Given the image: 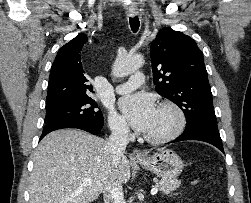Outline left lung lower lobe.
Segmentation results:
<instances>
[{"label":"left lung lower lobe","instance_id":"obj_1","mask_svg":"<svg viewBox=\"0 0 251 203\" xmlns=\"http://www.w3.org/2000/svg\"><path fill=\"white\" fill-rule=\"evenodd\" d=\"M184 140L204 141L212 144L213 146L224 152L219 131L216 129H211L208 127H199L193 130L184 131L178 138L171 141L170 143Z\"/></svg>","mask_w":251,"mask_h":203}]
</instances>
